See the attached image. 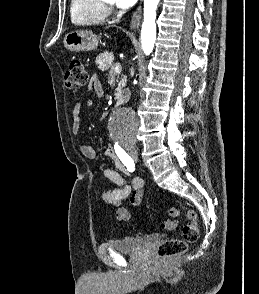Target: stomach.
<instances>
[{
    "mask_svg": "<svg viewBox=\"0 0 259 294\" xmlns=\"http://www.w3.org/2000/svg\"><path fill=\"white\" fill-rule=\"evenodd\" d=\"M64 47L72 52L92 51L98 47L99 39L90 31H72L64 37Z\"/></svg>",
    "mask_w": 259,
    "mask_h": 294,
    "instance_id": "0dacf381",
    "label": "stomach"
}]
</instances>
